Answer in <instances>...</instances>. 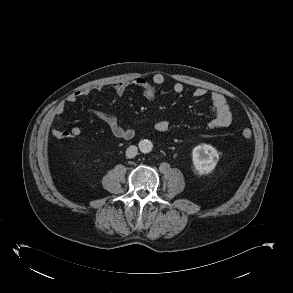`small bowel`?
<instances>
[{
	"label": "small bowel",
	"mask_w": 293,
	"mask_h": 293,
	"mask_svg": "<svg viewBox=\"0 0 293 293\" xmlns=\"http://www.w3.org/2000/svg\"><path fill=\"white\" fill-rule=\"evenodd\" d=\"M165 82V77L161 73H156L152 76L151 80L148 81L145 78L138 77L131 82H116L112 85V89L118 95H123L129 86H135L141 89L143 96L148 100H153L157 95V88ZM96 90L101 91L103 86L99 85L95 87ZM172 90L180 94L184 91V86L180 82H176L172 86ZM92 88L85 87L77 90L76 92L69 95L65 102L59 103L54 109L48 114V122L52 124L57 121L60 115L65 110V104H72L79 98L89 95ZM208 94L204 88H197L193 91V95L197 98L205 97ZM212 104V111L214 118L208 123L210 129H221L226 128L232 121V113L226 98L219 93H212L210 95ZM90 114L104 122L112 135L118 139L129 140L134 136L132 129L123 127L113 115L107 114L99 110H90ZM154 128L158 132H166L169 129V123L166 120H158L154 124ZM53 135L59 139L75 138L81 134V129L78 126L73 127L70 131H59L53 130Z\"/></svg>",
	"instance_id": "c3829d8e"
}]
</instances>
